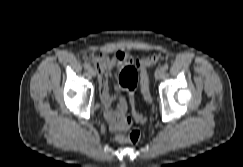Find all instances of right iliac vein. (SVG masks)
I'll list each match as a JSON object with an SVG mask.
<instances>
[{
    "instance_id": "63e3f726",
    "label": "right iliac vein",
    "mask_w": 243,
    "mask_h": 167,
    "mask_svg": "<svg viewBox=\"0 0 243 167\" xmlns=\"http://www.w3.org/2000/svg\"><path fill=\"white\" fill-rule=\"evenodd\" d=\"M88 74L92 77H95L96 76V71L93 69V68H89L88 69Z\"/></svg>"
}]
</instances>
